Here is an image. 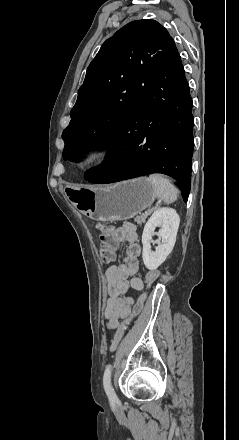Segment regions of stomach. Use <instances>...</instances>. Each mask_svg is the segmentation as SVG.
<instances>
[{
	"instance_id": "stomach-1",
	"label": "stomach",
	"mask_w": 239,
	"mask_h": 440,
	"mask_svg": "<svg viewBox=\"0 0 239 440\" xmlns=\"http://www.w3.org/2000/svg\"><path fill=\"white\" fill-rule=\"evenodd\" d=\"M74 206L96 222L130 220L150 208L156 194L149 178H135L99 188H73Z\"/></svg>"
}]
</instances>
